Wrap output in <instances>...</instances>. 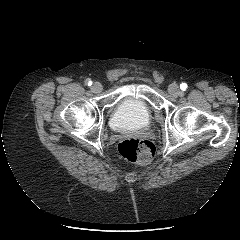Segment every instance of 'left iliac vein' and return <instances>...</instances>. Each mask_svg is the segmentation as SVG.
<instances>
[{
    "instance_id": "left-iliac-vein-1",
    "label": "left iliac vein",
    "mask_w": 240,
    "mask_h": 240,
    "mask_svg": "<svg viewBox=\"0 0 240 240\" xmlns=\"http://www.w3.org/2000/svg\"><path fill=\"white\" fill-rule=\"evenodd\" d=\"M168 92L174 97L182 95V91L179 89V86L174 83L168 87Z\"/></svg>"
}]
</instances>
